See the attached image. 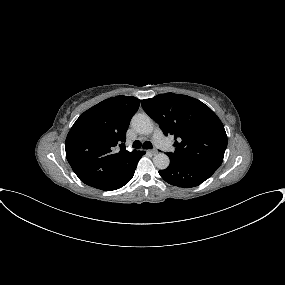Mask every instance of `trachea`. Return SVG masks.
<instances>
[{"label": "trachea", "mask_w": 285, "mask_h": 285, "mask_svg": "<svg viewBox=\"0 0 285 285\" xmlns=\"http://www.w3.org/2000/svg\"><path fill=\"white\" fill-rule=\"evenodd\" d=\"M132 146H133V148H136V149L141 148V146L144 149H152L153 148L151 142H149V141H145L143 144H141L140 141L136 140V141L133 142Z\"/></svg>", "instance_id": "trachea-1"}]
</instances>
